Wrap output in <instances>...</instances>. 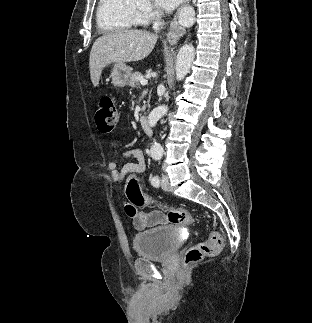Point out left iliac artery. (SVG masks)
Masks as SVG:
<instances>
[{
	"instance_id": "44dca946",
	"label": "left iliac artery",
	"mask_w": 312,
	"mask_h": 323,
	"mask_svg": "<svg viewBox=\"0 0 312 323\" xmlns=\"http://www.w3.org/2000/svg\"><path fill=\"white\" fill-rule=\"evenodd\" d=\"M151 183L153 186L155 187H159V184H160V179L158 176H154L151 180Z\"/></svg>"
}]
</instances>
